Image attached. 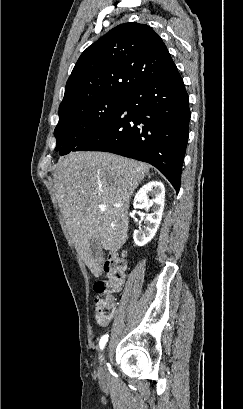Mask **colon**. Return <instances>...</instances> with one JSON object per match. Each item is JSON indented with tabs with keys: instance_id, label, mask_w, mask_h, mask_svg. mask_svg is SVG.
<instances>
[{
	"instance_id": "1",
	"label": "colon",
	"mask_w": 243,
	"mask_h": 409,
	"mask_svg": "<svg viewBox=\"0 0 243 409\" xmlns=\"http://www.w3.org/2000/svg\"><path fill=\"white\" fill-rule=\"evenodd\" d=\"M109 279L94 284L98 295L95 300L94 320L100 326L107 325L114 316L115 304L111 295L119 291L125 277L126 260L122 253L112 256L105 266Z\"/></svg>"
}]
</instances>
